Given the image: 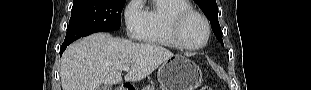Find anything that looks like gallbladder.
Returning a JSON list of instances; mask_svg holds the SVG:
<instances>
[{
  "instance_id": "bac80fb5",
  "label": "gallbladder",
  "mask_w": 311,
  "mask_h": 90,
  "mask_svg": "<svg viewBox=\"0 0 311 90\" xmlns=\"http://www.w3.org/2000/svg\"><path fill=\"white\" fill-rule=\"evenodd\" d=\"M99 90H111V87L109 85L102 84L100 85Z\"/></svg>"
}]
</instances>
